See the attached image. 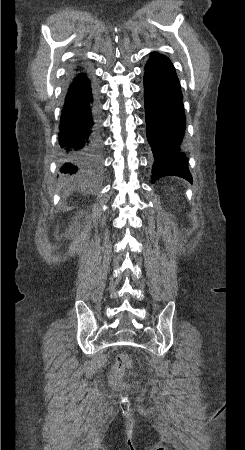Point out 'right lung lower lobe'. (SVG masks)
I'll list each match as a JSON object with an SVG mask.
<instances>
[{
    "label": "right lung lower lobe",
    "mask_w": 245,
    "mask_h": 450,
    "mask_svg": "<svg viewBox=\"0 0 245 450\" xmlns=\"http://www.w3.org/2000/svg\"><path fill=\"white\" fill-rule=\"evenodd\" d=\"M59 134L63 159L60 172L92 175L100 171L99 106L95 89L82 70L70 78Z\"/></svg>",
    "instance_id": "98d812e1"
}]
</instances>
